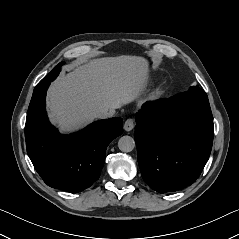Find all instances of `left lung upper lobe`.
<instances>
[{"label":"left lung upper lobe","instance_id":"5c2ea615","mask_svg":"<svg viewBox=\"0 0 239 239\" xmlns=\"http://www.w3.org/2000/svg\"><path fill=\"white\" fill-rule=\"evenodd\" d=\"M189 91H194V92H197V93H205L200 87L198 86H191Z\"/></svg>","mask_w":239,"mask_h":239}]
</instances>
